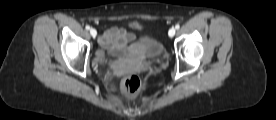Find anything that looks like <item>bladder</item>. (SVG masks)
I'll use <instances>...</instances> for the list:
<instances>
[{"label":"bladder","instance_id":"obj_1","mask_svg":"<svg viewBox=\"0 0 276 120\" xmlns=\"http://www.w3.org/2000/svg\"><path fill=\"white\" fill-rule=\"evenodd\" d=\"M138 46L147 57H160L165 52L164 45L162 42L149 34L142 33L139 40ZM131 51L129 49H116L114 54L117 55H128Z\"/></svg>","mask_w":276,"mask_h":120}]
</instances>
